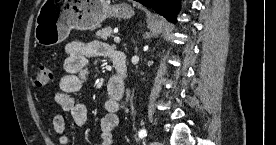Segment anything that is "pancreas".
Segmentation results:
<instances>
[{
  "label": "pancreas",
  "mask_w": 276,
  "mask_h": 145,
  "mask_svg": "<svg viewBox=\"0 0 276 145\" xmlns=\"http://www.w3.org/2000/svg\"><path fill=\"white\" fill-rule=\"evenodd\" d=\"M111 34H112V28L110 26H107L97 31L96 36L100 39L107 40V38L110 37Z\"/></svg>",
  "instance_id": "obj_1"
}]
</instances>
